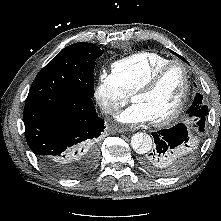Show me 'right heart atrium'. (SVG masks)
<instances>
[{
  "mask_svg": "<svg viewBox=\"0 0 221 221\" xmlns=\"http://www.w3.org/2000/svg\"><path fill=\"white\" fill-rule=\"evenodd\" d=\"M94 95L102 111L109 115L116 113L129 99V93L115 75L106 71L99 73Z\"/></svg>",
  "mask_w": 221,
  "mask_h": 221,
  "instance_id": "1",
  "label": "right heart atrium"
}]
</instances>
